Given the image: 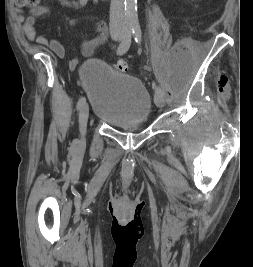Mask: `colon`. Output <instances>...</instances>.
<instances>
[{
	"mask_svg": "<svg viewBox=\"0 0 253 267\" xmlns=\"http://www.w3.org/2000/svg\"><path fill=\"white\" fill-rule=\"evenodd\" d=\"M40 0H15V4L18 8L34 7ZM128 65L124 60H119L115 64V69L119 72L127 71Z\"/></svg>",
	"mask_w": 253,
	"mask_h": 267,
	"instance_id": "5ec220e1",
	"label": "colon"
}]
</instances>
